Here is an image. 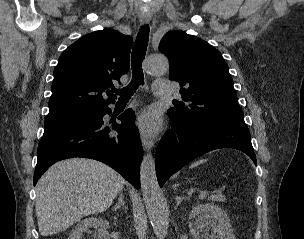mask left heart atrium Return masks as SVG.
I'll return each instance as SVG.
<instances>
[{
    "label": "left heart atrium",
    "instance_id": "39dd6f15",
    "mask_svg": "<svg viewBox=\"0 0 304 239\" xmlns=\"http://www.w3.org/2000/svg\"><path fill=\"white\" fill-rule=\"evenodd\" d=\"M137 128L146 135H153L161 127V119L154 110L143 111L135 122Z\"/></svg>",
    "mask_w": 304,
    "mask_h": 239
}]
</instances>
